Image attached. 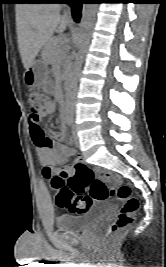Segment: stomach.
<instances>
[{"instance_id": "stomach-1", "label": "stomach", "mask_w": 166, "mask_h": 267, "mask_svg": "<svg viewBox=\"0 0 166 267\" xmlns=\"http://www.w3.org/2000/svg\"><path fill=\"white\" fill-rule=\"evenodd\" d=\"M23 79L25 84L31 88L44 85L48 79L47 63L42 60H35L33 64L25 70Z\"/></svg>"}]
</instances>
